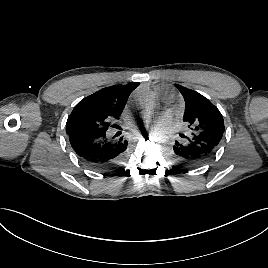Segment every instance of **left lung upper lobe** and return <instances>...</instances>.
<instances>
[{
	"label": "left lung upper lobe",
	"mask_w": 268,
	"mask_h": 268,
	"mask_svg": "<svg viewBox=\"0 0 268 268\" xmlns=\"http://www.w3.org/2000/svg\"><path fill=\"white\" fill-rule=\"evenodd\" d=\"M185 100L183 121L193 132L225 130L223 117L216 106L196 91L175 84Z\"/></svg>",
	"instance_id": "1"
}]
</instances>
